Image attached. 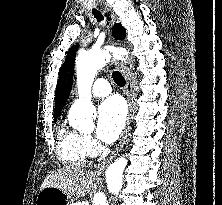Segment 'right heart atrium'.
Listing matches in <instances>:
<instances>
[{
    "label": "right heart atrium",
    "mask_w": 222,
    "mask_h": 205,
    "mask_svg": "<svg viewBox=\"0 0 222 205\" xmlns=\"http://www.w3.org/2000/svg\"><path fill=\"white\" fill-rule=\"evenodd\" d=\"M84 143H85V147H86L88 154L90 156L95 155L98 147H97V143L93 139V137H91L90 135H85L84 136Z\"/></svg>",
    "instance_id": "right-heart-atrium-1"
}]
</instances>
